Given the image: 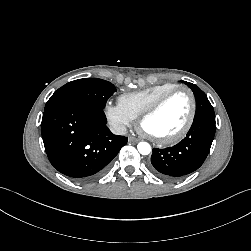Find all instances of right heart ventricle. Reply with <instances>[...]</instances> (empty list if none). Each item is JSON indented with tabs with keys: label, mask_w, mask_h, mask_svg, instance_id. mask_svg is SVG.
<instances>
[{
	"label": "right heart ventricle",
	"mask_w": 251,
	"mask_h": 251,
	"mask_svg": "<svg viewBox=\"0 0 251 251\" xmlns=\"http://www.w3.org/2000/svg\"><path fill=\"white\" fill-rule=\"evenodd\" d=\"M176 86L173 83H162L140 91L125 93L119 97L118 104L132 119H136L161 95Z\"/></svg>",
	"instance_id": "e07e8e85"
}]
</instances>
